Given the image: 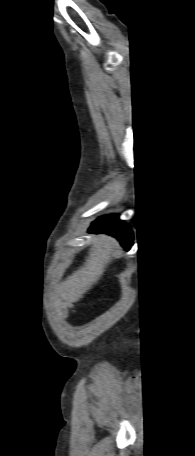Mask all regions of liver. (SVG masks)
Returning a JSON list of instances; mask_svg holds the SVG:
<instances>
[{
    "mask_svg": "<svg viewBox=\"0 0 195 456\" xmlns=\"http://www.w3.org/2000/svg\"><path fill=\"white\" fill-rule=\"evenodd\" d=\"M116 241L105 235L93 241L86 261L77 271L68 276L59 286L62 297L69 302H76L95 285L111 261Z\"/></svg>",
    "mask_w": 195,
    "mask_h": 456,
    "instance_id": "6515ba94",
    "label": "liver"
}]
</instances>
